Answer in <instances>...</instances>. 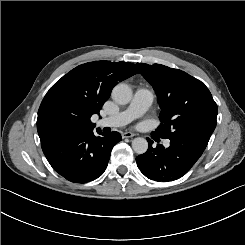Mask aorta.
Wrapping results in <instances>:
<instances>
[{
  "mask_svg": "<svg viewBox=\"0 0 245 245\" xmlns=\"http://www.w3.org/2000/svg\"><path fill=\"white\" fill-rule=\"evenodd\" d=\"M112 97L118 104H128L132 99V90L127 84H117ZM132 148L137 154H144L148 150V142L142 137H137L132 141Z\"/></svg>",
  "mask_w": 245,
  "mask_h": 245,
  "instance_id": "1",
  "label": "aorta"
}]
</instances>
